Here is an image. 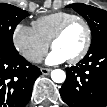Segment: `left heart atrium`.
Wrapping results in <instances>:
<instances>
[{"mask_svg": "<svg viewBox=\"0 0 107 107\" xmlns=\"http://www.w3.org/2000/svg\"><path fill=\"white\" fill-rule=\"evenodd\" d=\"M67 58L59 51L53 49L46 58V63L49 65L60 64L66 61Z\"/></svg>", "mask_w": 107, "mask_h": 107, "instance_id": "39dd6f15", "label": "left heart atrium"}]
</instances>
